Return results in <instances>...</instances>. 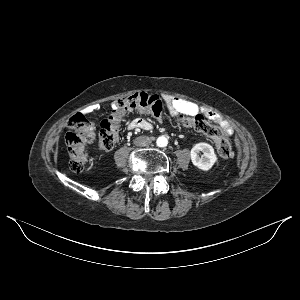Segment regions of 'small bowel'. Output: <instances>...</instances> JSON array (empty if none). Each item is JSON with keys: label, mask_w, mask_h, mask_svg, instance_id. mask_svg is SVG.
I'll return each mask as SVG.
<instances>
[{"label": "small bowel", "mask_w": 300, "mask_h": 300, "mask_svg": "<svg viewBox=\"0 0 300 300\" xmlns=\"http://www.w3.org/2000/svg\"><path fill=\"white\" fill-rule=\"evenodd\" d=\"M164 100L171 116H175L177 114L196 115L202 113L209 120L218 125L224 135H231L233 133L232 126L227 121H225L218 113L214 112L211 109L201 107L194 102L173 96H166ZM93 111L94 108H86L83 111V115H89ZM129 127L131 129L137 128L149 130L151 129V124L144 118H135L130 122Z\"/></svg>", "instance_id": "small-bowel-1"}]
</instances>
